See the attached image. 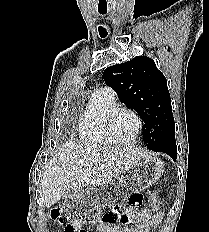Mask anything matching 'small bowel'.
Returning a JSON list of instances; mask_svg holds the SVG:
<instances>
[{"label": "small bowel", "mask_w": 209, "mask_h": 232, "mask_svg": "<svg viewBox=\"0 0 209 232\" xmlns=\"http://www.w3.org/2000/svg\"><path fill=\"white\" fill-rule=\"evenodd\" d=\"M142 190H133V194H128L125 204V213H138L140 203H142ZM163 218L160 211H152L149 208L142 209L136 216L137 224L134 227H112L109 224L99 221L97 223L98 232H152L156 229ZM83 225V224H82ZM84 232H86L84 230Z\"/></svg>", "instance_id": "1"}]
</instances>
